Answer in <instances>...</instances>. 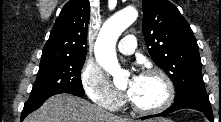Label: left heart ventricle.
<instances>
[{
	"label": "left heart ventricle",
	"mask_w": 221,
	"mask_h": 122,
	"mask_svg": "<svg viewBox=\"0 0 221 122\" xmlns=\"http://www.w3.org/2000/svg\"><path fill=\"white\" fill-rule=\"evenodd\" d=\"M131 80L128 82V89ZM130 98L140 107L151 108L158 106L165 98V87L157 76H140Z\"/></svg>",
	"instance_id": "obj_1"
}]
</instances>
